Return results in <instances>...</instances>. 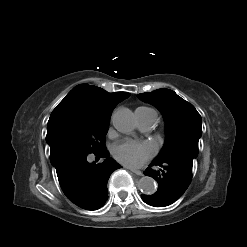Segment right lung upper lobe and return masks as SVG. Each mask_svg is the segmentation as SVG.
<instances>
[{
  "mask_svg": "<svg viewBox=\"0 0 247 247\" xmlns=\"http://www.w3.org/2000/svg\"><path fill=\"white\" fill-rule=\"evenodd\" d=\"M129 96L130 93L127 92L108 93L99 87L80 84L74 87L63 101L74 100L89 113L110 118L115 106Z\"/></svg>",
  "mask_w": 247,
  "mask_h": 247,
  "instance_id": "right-lung-upper-lobe-1",
  "label": "right lung upper lobe"
}]
</instances>
